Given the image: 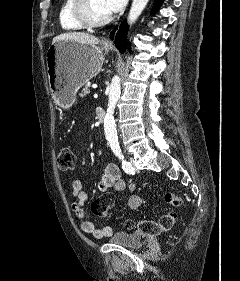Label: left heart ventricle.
<instances>
[{"label": "left heart ventricle", "mask_w": 240, "mask_h": 281, "mask_svg": "<svg viewBox=\"0 0 240 281\" xmlns=\"http://www.w3.org/2000/svg\"><path fill=\"white\" fill-rule=\"evenodd\" d=\"M92 4L97 17H105L110 14L105 6V0H92Z\"/></svg>", "instance_id": "b2bd125f"}]
</instances>
